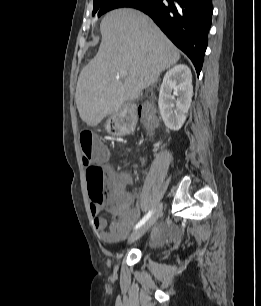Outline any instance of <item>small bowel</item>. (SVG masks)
Returning a JSON list of instances; mask_svg holds the SVG:
<instances>
[{
    "instance_id": "small-bowel-1",
    "label": "small bowel",
    "mask_w": 261,
    "mask_h": 306,
    "mask_svg": "<svg viewBox=\"0 0 261 306\" xmlns=\"http://www.w3.org/2000/svg\"><path fill=\"white\" fill-rule=\"evenodd\" d=\"M131 182L132 177L127 170L113 173L106 204L104 206L91 204L90 206L94 227L100 239L106 244H116L125 239L140 216L138 204L133 202L131 196L126 192ZM104 207L113 216L111 224L98 215Z\"/></svg>"
}]
</instances>
